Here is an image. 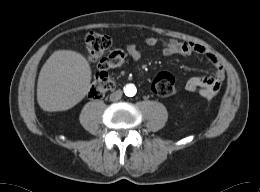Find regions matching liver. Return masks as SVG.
<instances>
[{"mask_svg":"<svg viewBox=\"0 0 260 192\" xmlns=\"http://www.w3.org/2000/svg\"><path fill=\"white\" fill-rule=\"evenodd\" d=\"M91 67L73 50L55 51L44 63L37 82V101L44 111H65L88 93Z\"/></svg>","mask_w":260,"mask_h":192,"instance_id":"1","label":"liver"}]
</instances>
